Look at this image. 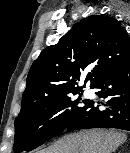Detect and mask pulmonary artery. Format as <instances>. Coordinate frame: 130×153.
Masks as SVG:
<instances>
[{
	"instance_id": "obj_1",
	"label": "pulmonary artery",
	"mask_w": 130,
	"mask_h": 153,
	"mask_svg": "<svg viewBox=\"0 0 130 153\" xmlns=\"http://www.w3.org/2000/svg\"><path fill=\"white\" fill-rule=\"evenodd\" d=\"M84 96L87 97V98H90V97H92V94L89 91H85Z\"/></svg>"
}]
</instances>
